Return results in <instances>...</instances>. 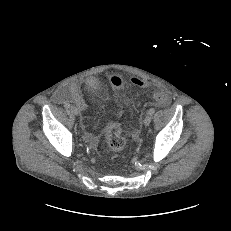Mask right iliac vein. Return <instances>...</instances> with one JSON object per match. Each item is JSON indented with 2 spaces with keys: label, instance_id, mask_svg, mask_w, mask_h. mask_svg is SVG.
Returning a JSON list of instances; mask_svg holds the SVG:
<instances>
[{
  "label": "right iliac vein",
  "instance_id": "obj_1",
  "mask_svg": "<svg viewBox=\"0 0 231 231\" xmlns=\"http://www.w3.org/2000/svg\"><path fill=\"white\" fill-rule=\"evenodd\" d=\"M70 111H71L74 115H77V116L80 114L78 108L75 107V106H71V107H70Z\"/></svg>",
  "mask_w": 231,
  "mask_h": 231
}]
</instances>
